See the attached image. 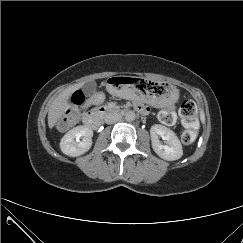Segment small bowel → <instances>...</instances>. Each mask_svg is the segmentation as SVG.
<instances>
[{"label": "small bowel", "mask_w": 243, "mask_h": 243, "mask_svg": "<svg viewBox=\"0 0 243 243\" xmlns=\"http://www.w3.org/2000/svg\"><path fill=\"white\" fill-rule=\"evenodd\" d=\"M104 100V96L101 93L94 94L88 101V104H99ZM138 110L143 111L144 107L142 105H136Z\"/></svg>", "instance_id": "1"}]
</instances>
